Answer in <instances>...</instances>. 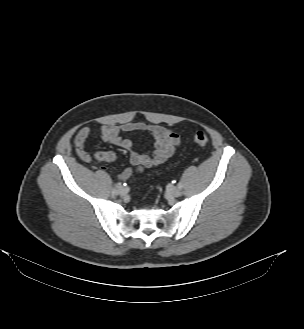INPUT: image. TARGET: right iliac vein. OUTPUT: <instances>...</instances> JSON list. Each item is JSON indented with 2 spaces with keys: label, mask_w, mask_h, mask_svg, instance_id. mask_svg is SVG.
Wrapping results in <instances>:
<instances>
[{
  "label": "right iliac vein",
  "mask_w": 304,
  "mask_h": 329,
  "mask_svg": "<svg viewBox=\"0 0 304 329\" xmlns=\"http://www.w3.org/2000/svg\"><path fill=\"white\" fill-rule=\"evenodd\" d=\"M117 194H121L124 191V187L121 184H117Z\"/></svg>",
  "instance_id": "obj_1"
}]
</instances>
